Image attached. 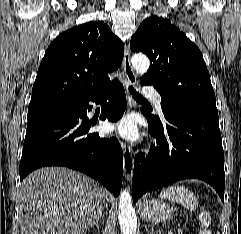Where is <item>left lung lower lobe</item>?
<instances>
[{
  "label": "left lung lower lobe",
  "instance_id": "obj_1",
  "mask_svg": "<svg viewBox=\"0 0 241 234\" xmlns=\"http://www.w3.org/2000/svg\"><path fill=\"white\" fill-rule=\"evenodd\" d=\"M161 107L163 121L141 110L157 146H151L147 158L135 156L133 201L146 192L191 178L209 183L224 201V152L218 116L162 102Z\"/></svg>",
  "mask_w": 241,
  "mask_h": 234
}]
</instances>
